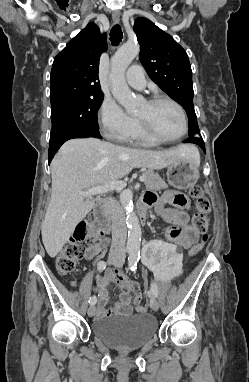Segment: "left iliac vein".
I'll use <instances>...</instances> for the list:
<instances>
[{"instance_id":"left-iliac-vein-1","label":"left iliac vein","mask_w":249,"mask_h":382,"mask_svg":"<svg viewBox=\"0 0 249 382\" xmlns=\"http://www.w3.org/2000/svg\"><path fill=\"white\" fill-rule=\"evenodd\" d=\"M123 263H124V259L121 258L120 261L115 264V266L120 268L123 265ZM150 307L154 311H158L159 309V303L154 297L150 299Z\"/></svg>"}]
</instances>
